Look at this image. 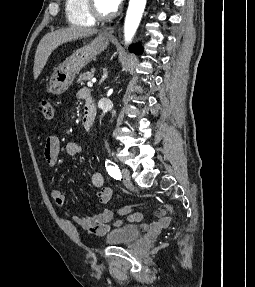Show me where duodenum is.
Segmentation results:
<instances>
[{"label": "duodenum", "instance_id": "obj_1", "mask_svg": "<svg viewBox=\"0 0 255 287\" xmlns=\"http://www.w3.org/2000/svg\"><path fill=\"white\" fill-rule=\"evenodd\" d=\"M80 98L84 101V115L82 118V128L84 131H88L95 117V104L91 94L88 91H82Z\"/></svg>", "mask_w": 255, "mask_h": 287}]
</instances>
